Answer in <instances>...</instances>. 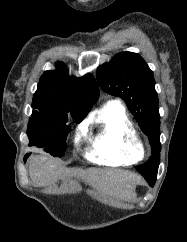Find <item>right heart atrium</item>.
Wrapping results in <instances>:
<instances>
[{"instance_id": "obj_1", "label": "right heart atrium", "mask_w": 187, "mask_h": 242, "mask_svg": "<svg viewBox=\"0 0 187 242\" xmlns=\"http://www.w3.org/2000/svg\"><path fill=\"white\" fill-rule=\"evenodd\" d=\"M84 132H85V130L82 128V129L80 130V132H79L78 137H81V136L84 134Z\"/></svg>"}]
</instances>
